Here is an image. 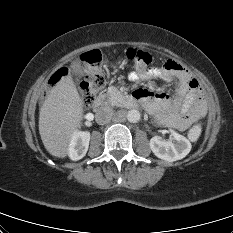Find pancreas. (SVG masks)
I'll return each mask as SVG.
<instances>
[{"mask_svg": "<svg viewBox=\"0 0 233 233\" xmlns=\"http://www.w3.org/2000/svg\"><path fill=\"white\" fill-rule=\"evenodd\" d=\"M109 101L116 106H123L127 103V97L122 95L116 87H109L107 91Z\"/></svg>", "mask_w": 233, "mask_h": 233, "instance_id": "obj_1", "label": "pancreas"}]
</instances>
